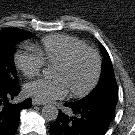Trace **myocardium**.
Segmentation results:
<instances>
[{
  "instance_id": "myocardium-1",
  "label": "myocardium",
  "mask_w": 135,
  "mask_h": 135,
  "mask_svg": "<svg viewBox=\"0 0 135 135\" xmlns=\"http://www.w3.org/2000/svg\"><path fill=\"white\" fill-rule=\"evenodd\" d=\"M82 54H90L94 58L95 62V69L92 79L90 80L89 84L81 91H70V95L75 98H82L87 96L97 85L101 71H102V62L100 59L99 54L92 48H80L75 49L70 52L63 60L57 62L54 66H58L61 68H66L70 66L80 55Z\"/></svg>"
}]
</instances>
